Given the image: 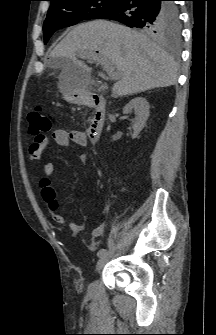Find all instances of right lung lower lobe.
Masks as SVG:
<instances>
[{"label": "right lung lower lobe", "mask_w": 216, "mask_h": 335, "mask_svg": "<svg viewBox=\"0 0 216 335\" xmlns=\"http://www.w3.org/2000/svg\"><path fill=\"white\" fill-rule=\"evenodd\" d=\"M168 16L173 23L179 21L177 8L172 1L119 0L110 11L99 19L115 20L129 27L157 32L162 29Z\"/></svg>", "instance_id": "98d812e1"}]
</instances>
